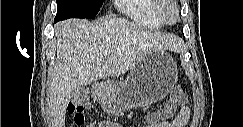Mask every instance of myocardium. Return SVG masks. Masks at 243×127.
<instances>
[{
    "mask_svg": "<svg viewBox=\"0 0 243 127\" xmlns=\"http://www.w3.org/2000/svg\"><path fill=\"white\" fill-rule=\"evenodd\" d=\"M158 15L165 24L173 25L179 22L181 10L174 0H161Z\"/></svg>",
    "mask_w": 243,
    "mask_h": 127,
    "instance_id": "1",
    "label": "myocardium"
}]
</instances>
